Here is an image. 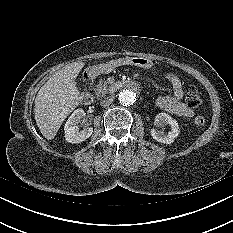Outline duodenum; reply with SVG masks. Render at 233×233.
Returning <instances> with one entry per match:
<instances>
[{"instance_id":"duodenum-1","label":"duodenum","mask_w":233,"mask_h":233,"mask_svg":"<svg viewBox=\"0 0 233 233\" xmlns=\"http://www.w3.org/2000/svg\"><path fill=\"white\" fill-rule=\"evenodd\" d=\"M95 76L93 74L86 75V82L90 83L94 80ZM129 87L128 81H122V82H116L115 84H110L106 87H104L103 90L100 91L101 97H106L109 94L114 93L115 91L123 90L124 88ZM93 101L92 94L88 91L83 92L81 95V102L84 105H90Z\"/></svg>"}]
</instances>
